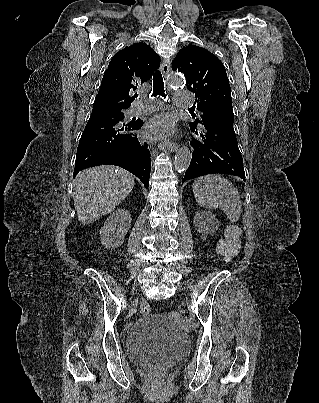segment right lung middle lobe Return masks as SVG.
<instances>
[{
  "label": "right lung middle lobe",
  "mask_w": 319,
  "mask_h": 403,
  "mask_svg": "<svg viewBox=\"0 0 319 403\" xmlns=\"http://www.w3.org/2000/svg\"><path fill=\"white\" fill-rule=\"evenodd\" d=\"M122 108L109 107V106H94L92 109V114L90 119L98 117H113V118H123Z\"/></svg>",
  "instance_id": "obj_1"
}]
</instances>
